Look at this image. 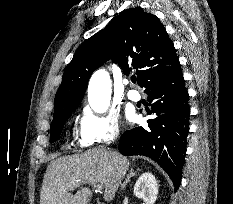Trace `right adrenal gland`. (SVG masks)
Returning a JSON list of instances; mask_svg holds the SVG:
<instances>
[{
	"instance_id": "obj_1",
	"label": "right adrenal gland",
	"mask_w": 233,
	"mask_h": 204,
	"mask_svg": "<svg viewBox=\"0 0 233 204\" xmlns=\"http://www.w3.org/2000/svg\"><path fill=\"white\" fill-rule=\"evenodd\" d=\"M139 170V168L134 172L133 169L130 170V173L127 175L126 180L124 181V183L121 185V190H124L125 186L127 185V183L130 182L131 177H133L136 172Z\"/></svg>"
}]
</instances>
